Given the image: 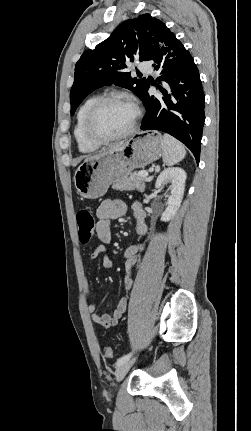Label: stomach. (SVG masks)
<instances>
[{"label": "stomach", "mask_w": 251, "mask_h": 431, "mask_svg": "<svg viewBox=\"0 0 251 431\" xmlns=\"http://www.w3.org/2000/svg\"><path fill=\"white\" fill-rule=\"evenodd\" d=\"M164 152L163 137L158 132H140L101 157L85 160L76 170L77 193L87 199L103 196L112 183L129 177L136 168L158 160Z\"/></svg>", "instance_id": "stomach-1"}]
</instances>
